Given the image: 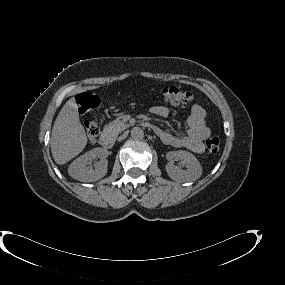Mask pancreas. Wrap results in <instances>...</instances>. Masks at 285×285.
Here are the masks:
<instances>
[{
  "label": "pancreas",
  "instance_id": "cf45deb5",
  "mask_svg": "<svg viewBox=\"0 0 285 285\" xmlns=\"http://www.w3.org/2000/svg\"><path fill=\"white\" fill-rule=\"evenodd\" d=\"M124 123L122 121H114L107 125L106 130L114 133H119L123 129Z\"/></svg>",
  "mask_w": 285,
  "mask_h": 285
}]
</instances>
